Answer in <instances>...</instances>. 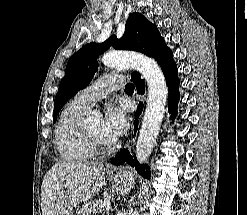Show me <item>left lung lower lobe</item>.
I'll return each mask as SVG.
<instances>
[{
    "label": "left lung lower lobe",
    "mask_w": 247,
    "mask_h": 215,
    "mask_svg": "<svg viewBox=\"0 0 247 215\" xmlns=\"http://www.w3.org/2000/svg\"><path fill=\"white\" fill-rule=\"evenodd\" d=\"M152 58H154L158 62L166 78L168 91H169V97H168L169 112L172 113V117H174L177 112V103L179 101L180 94H179V79L177 75V66L173 60V53L166 46V44L163 43L158 48V50L154 53ZM131 78L137 86L138 94H143L145 91V83L143 80L140 79V74L137 72L132 73ZM142 110H143V103L140 102L135 116V127H134L135 131L137 130V125H138V115L142 112ZM125 162L135 167L138 173L142 175L144 178L147 179L150 178L151 173L149 171V167L145 164L142 165L139 164L136 159V156L134 155L133 158L131 155H129V151L126 149L122 150L120 153L117 154L115 159L111 160V163L114 165H121Z\"/></svg>",
    "instance_id": "0a47b994"
}]
</instances>
